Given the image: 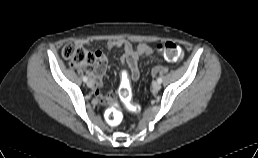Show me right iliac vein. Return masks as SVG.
<instances>
[{"instance_id":"right-iliac-vein-1","label":"right iliac vein","mask_w":258,"mask_h":158,"mask_svg":"<svg viewBox=\"0 0 258 158\" xmlns=\"http://www.w3.org/2000/svg\"><path fill=\"white\" fill-rule=\"evenodd\" d=\"M87 86L90 88L93 87L94 86L93 81L92 80L87 81Z\"/></svg>"}]
</instances>
